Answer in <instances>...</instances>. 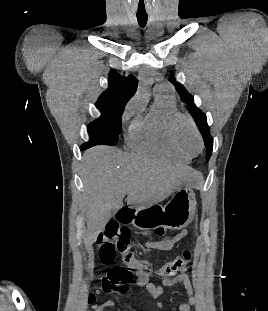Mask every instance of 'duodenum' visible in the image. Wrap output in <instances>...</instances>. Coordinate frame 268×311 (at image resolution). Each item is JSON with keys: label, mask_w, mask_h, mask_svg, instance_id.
Listing matches in <instances>:
<instances>
[{"label": "duodenum", "mask_w": 268, "mask_h": 311, "mask_svg": "<svg viewBox=\"0 0 268 311\" xmlns=\"http://www.w3.org/2000/svg\"><path fill=\"white\" fill-rule=\"evenodd\" d=\"M133 214V211L130 208H123L120 212H119V217L121 219H125L128 217H131Z\"/></svg>", "instance_id": "1"}]
</instances>
